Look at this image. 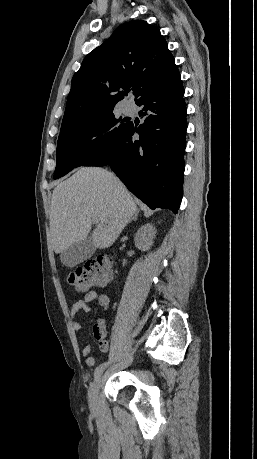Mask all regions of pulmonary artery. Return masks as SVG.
<instances>
[{"label": "pulmonary artery", "instance_id": "pulmonary-artery-1", "mask_svg": "<svg viewBox=\"0 0 257 459\" xmlns=\"http://www.w3.org/2000/svg\"><path fill=\"white\" fill-rule=\"evenodd\" d=\"M123 110H124L125 114L130 115V114L134 113V105L131 104V103H128V104L124 105Z\"/></svg>", "mask_w": 257, "mask_h": 459}]
</instances>
